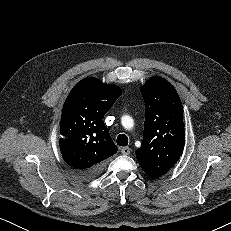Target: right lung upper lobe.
Wrapping results in <instances>:
<instances>
[{
	"label": "right lung upper lobe",
	"instance_id": "obj_1",
	"mask_svg": "<svg viewBox=\"0 0 231 231\" xmlns=\"http://www.w3.org/2000/svg\"><path fill=\"white\" fill-rule=\"evenodd\" d=\"M121 89L96 78H84L63 105L59 141L65 162L77 172L102 167L117 152L103 117L121 95Z\"/></svg>",
	"mask_w": 231,
	"mask_h": 231
}]
</instances>
